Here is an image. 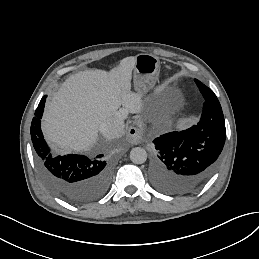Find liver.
Listing matches in <instances>:
<instances>
[{"label": "liver", "instance_id": "liver-1", "mask_svg": "<svg viewBox=\"0 0 259 259\" xmlns=\"http://www.w3.org/2000/svg\"><path fill=\"white\" fill-rule=\"evenodd\" d=\"M136 62L129 57L109 74L97 70L71 76L46 105L42 128L47 141L64 152L85 150L95 142L101 123L132 94Z\"/></svg>", "mask_w": 259, "mask_h": 259}]
</instances>
